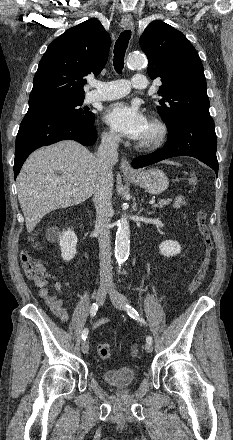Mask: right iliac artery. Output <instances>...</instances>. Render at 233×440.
Listing matches in <instances>:
<instances>
[{
  "mask_svg": "<svg viewBox=\"0 0 233 440\" xmlns=\"http://www.w3.org/2000/svg\"><path fill=\"white\" fill-rule=\"evenodd\" d=\"M97 310H98V304L97 303H93L91 308H90V315L94 316L96 314ZM87 336H88V329L85 328L83 330V332H82V336L81 337L85 341Z\"/></svg>",
  "mask_w": 233,
  "mask_h": 440,
  "instance_id": "obj_1",
  "label": "right iliac artery"
}]
</instances>
